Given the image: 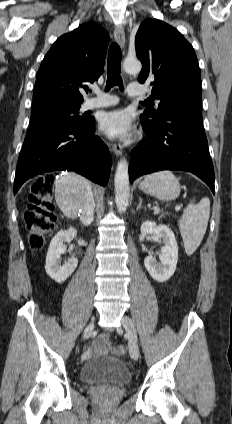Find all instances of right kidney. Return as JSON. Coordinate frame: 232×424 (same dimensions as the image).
<instances>
[{
	"mask_svg": "<svg viewBox=\"0 0 232 424\" xmlns=\"http://www.w3.org/2000/svg\"><path fill=\"white\" fill-rule=\"evenodd\" d=\"M76 234L77 230L74 228L60 231L53 237L50 243L46 256L45 270L48 276L57 283L64 282L78 265V260L74 257L61 265V255L66 252L64 242L69 243Z\"/></svg>",
	"mask_w": 232,
	"mask_h": 424,
	"instance_id": "right-kidney-1",
	"label": "right kidney"
}]
</instances>
